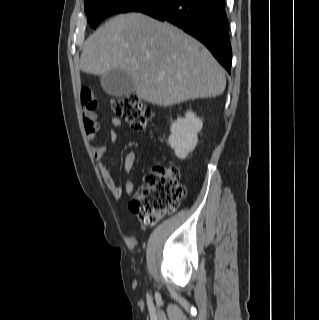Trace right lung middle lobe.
I'll list each match as a JSON object with an SVG mask.
<instances>
[{
    "label": "right lung middle lobe",
    "instance_id": "obj_1",
    "mask_svg": "<svg viewBox=\"0 0 319 320\" xmlns=\"http://www.w3.org/2000/svg\"><path fill=\"white\" fill-rule=\"evenodd\" d=\"M160 0H85V12L92 28L105 17L139 9L159 2Z\"/></svg>",
    "mask_w": 319,
    "mask_h": 320
}]
</instances>
